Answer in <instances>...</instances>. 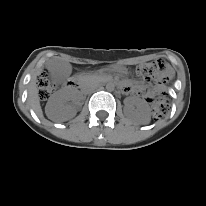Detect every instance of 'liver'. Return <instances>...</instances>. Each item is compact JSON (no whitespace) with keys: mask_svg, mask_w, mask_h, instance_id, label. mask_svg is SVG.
<instances>
[{"mask_svg":"<svg viewBox=\"0 0 206 206\" xmlns=\"http://www.w3.org/2000/svg\"><path fill=\"white\" fill-rule=\"evenodd\" d=\"M36 82H37L36 77H34L29 84L28 103L31 106V108L35 111L37 116L42 118L43 112L40 106V100L38 96V88ZM47 116L52 121L64 122L71 119L74 116V114H71L68 111H63V112H58L56 115L47 114Z\"/></svg>","mask_w":206,"mask_h":206,"instance_id":"obj_1","label":"liver"}]
</instances>
